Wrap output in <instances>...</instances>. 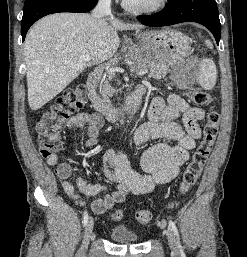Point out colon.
<instances>
[{"instance_id":"obj_1","label":"colon","mask_w":247,"mask_h":257,"mask_svg":"<svg viewBox=\"0 0 247 257\" xmlns=\"http://www.w3.org/2000/svg\"><path fill=\"white\" fill-rule=\"evenodd\" d=\"M189 98L198 106H206L212 102V97L205 91L193 89L189 92ZM86 103V90L83 85L67 88L59 95L52 106L43 113L36 125L38 133V146L44 157L57 154L62 148L60 132L67 119ZM220 115L217 110L208 112L206 122L203 126L202 139L192 155V159L183 172L179 184V192L187 193L197 182L202 169L209 157L213 144L218 134ZM123 214L116 211L112 214L114 220H120ZM137 221L146 225L150 222L152 214L142 209L136 212Z\"/></svg>"}]
</instances>
